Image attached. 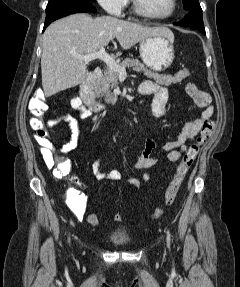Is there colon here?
I'll return each instance as SVG.
<instances>
[{
  "label": "colon",
  "mask_w": 240,
  "mask_h": 287,
  "mask_svg": "<svg viewBox=\"0 0 240 287\" xmlns=\"http://www.w3.org/2000/svg\"><path fill=\"white\" fill-rule=\"evenodd\" d=\"M186 93L190 96V98L194 101V103L198 107H207L211 103V96L206 91L199 89L194 83H188L186 85ZM48 109L47 103L42 96H35L31 98L29 102V110L31 114L30 126L34 130L36 136L40 139L45 140L47 136V132L44 128V124L42 121L43 113ZM213 122L211 120H207L204 122L203 127L200 132V136L197 141L191 144L187 150L185 151L180 163L178 164L175 174L171 181L169 182L164 195V204L165 206H170L176 200L179 189L183 184L185 177L187 176L189 170L191 169L198 153L201 148V145L206 141V139L210 136L213 130ZM52 165L54 168V173L58 177H63L67 175L71 170V163L60 156L57 157L56 161H52ZM141 179H147V176H144ZM164 213V207L156 208L152 213V218L157 219L161 217ZM88 223L91 225H98L100 220L97 215L90 214L87 218ZM114 220L117 222H121L123 220V216L121 214H116L114 216Z\"/></svg>",
  "instance_id": "5ec220e1"
}]
</instances>
